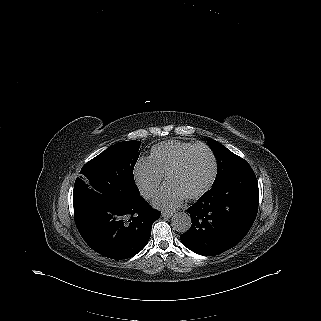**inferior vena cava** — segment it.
<instances>
[{
    "instance_id": "1",
    "label": "inferior vena cava",
    "mask_w": 321,
    "mask_h": 321,
    "mask_svg": "<svg viewBox=\"0 0 321 321\" xmlns=\"http://www.w3.org/2000/svg\"><path fill=\"white\" fill-rule=\"evenodd\" d=\"M152 194H153V190L149 188H146L141 191V195L146 199L150 198Z\"/></svg>"
}]
</instances>
